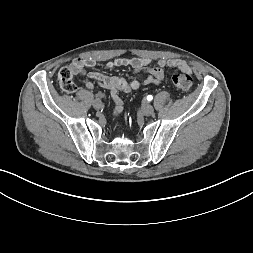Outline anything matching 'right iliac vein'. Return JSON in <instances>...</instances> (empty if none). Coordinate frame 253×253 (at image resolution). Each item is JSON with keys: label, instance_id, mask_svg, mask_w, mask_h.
Wrapping results in <instances>:
<instances>
[{"label": "right iliac vein", "instance_id": "1", "mask_svg": "<svg viewBox=\"0 0 253 253\" xmlns=\"http://www.w3.org/2000/svg\"><path fill=\"white\" fill-rule=\"evenodd\" d=\"M93 107L96 110H99L102 107V102L99 99L93 101Z\"/></svg>", "mask_w": 253, "mask_h": 253}]
</instances>
